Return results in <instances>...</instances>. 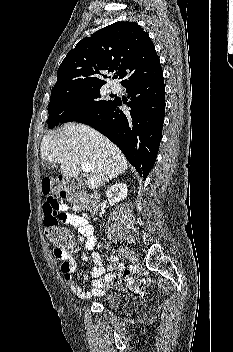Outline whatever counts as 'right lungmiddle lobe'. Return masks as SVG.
I'll use <instances>...</instances> for the list:
<instances>
[{"mask_svg": "<svg viewBox=\"0 0 233 352\" xmlns=\"http://www.w3.org/2000/svg\"><path fill=\"white\" fill-rule=\"evenodd\" d=\"M101 86L53 88L48 104V127L52 129L61 122H77L109 105L113 100L101 99Z\"/></svg>", "mask_w": 233, "mask_h": 352, "instance_id": "1", "label": "right lung middle lobe"}]
</instances>
